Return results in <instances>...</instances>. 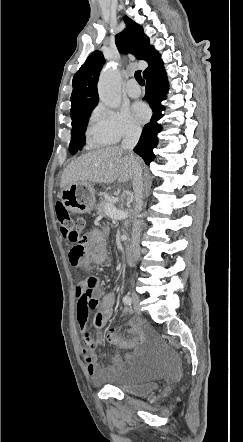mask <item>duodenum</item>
<instances>
[{"mask_svg": "<svg viewBox=\"0 0 243 442\" xmlns=\"http://www.w3.org/2000/svg\"><path fill=\"white\" fill-rule=\"evenodd\" d=\"M125 258H126V261L129 263V264H134L135 263V260H134V254H133V250L131 249V247H126L125 248Z\"/></svg>", "mask_w": 243, "mask_h": 442, "instance_id": "obj_1", "label": "duodenum"}]
</instances>
